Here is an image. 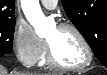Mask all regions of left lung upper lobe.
Returning a JSON list of instances; mask_svg holds the SVG:
<instances>
[{
	"label": "left lung upper lobe",
	"mask_w": 107,
	"mask_h": 75,
	"mask_svg": "<svg viewBox=\"0 0 107 75\" xmlns=\"http://www.w3.org/2000/svg\"><path fill=\"white\" fill-rule=\"evenodd\" d=\"M65 12L83 34L94 54L107 52V0H61ZM107 63V55H105ZM107 67V64H104Z\"/></svg>",
	"instance_id": "5c2ea615"
}]
</instances>
